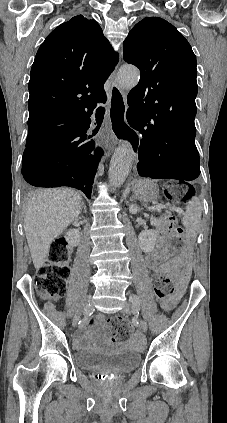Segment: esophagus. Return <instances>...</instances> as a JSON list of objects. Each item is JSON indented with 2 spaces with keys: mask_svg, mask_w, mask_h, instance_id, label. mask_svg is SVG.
Here are the masks:
<instances>
[{
  "mask_svg": "<svg viewBox=\"0 0 227 423\" xmlns=\"http://www.w3.org/2000/svg\"><path fill=\"white\" fill-rule=\"evenodd\" d=\"M115 77V72L112 74V78ZM127 111V103L125 101V95L123 90L113 80L110 92H109V107L108 117L112 130L115 131L117 140L120 144H126L131 148L133 155V168L136 170L138 163V151L140 146V137L138 133L133 129L131 124H125L124 118ZM113 148V147H111Z\"/></svg>",
  "mask_w": 227,
  "mask_h": 423,
  "instance_id": "obj_1",
  "label": "esophagus"
}]
</instances>
